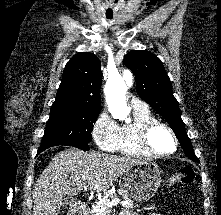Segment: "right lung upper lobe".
Here are the masks:
<instances>
[{"instance_id":"cb5924a9","label":"right lung upper lobe","mask_w":221,"mask_h":215,"mask_svg":"<svg viewBox=\"0 0 221 215\" xmlns=\"http://www.w3.org/2000/svg\"><path fill=\"white\" fill-rule=\"evenodd\" d=\"M101 63L89 52L75 54L66 64L51 113L66 110L100 111Z\"/></svg>"}]
</instances>
